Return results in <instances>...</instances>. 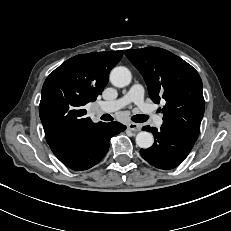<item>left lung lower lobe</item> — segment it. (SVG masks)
Here are the masks:
<instances>
[{
    "label": "left lung lower lobe",
    "mask_w": 231,
    "mask_h": 231,
    "mask_svg": "<svg viewBox=\"0 0 231 231\" xmlns=\"http://www.w3.org/2000/svg\"><path fill=\"white\" fill-rule=\"evenodd\" d=\"M144 131L152 132L155 138L153 146L141 149V156L151 165L164 170L178 166L190 153L196 140L178 130L162 124L160 130L144 126Z\"/></svg>",
    "instance_id": "obj_1"
}]
</instances>
